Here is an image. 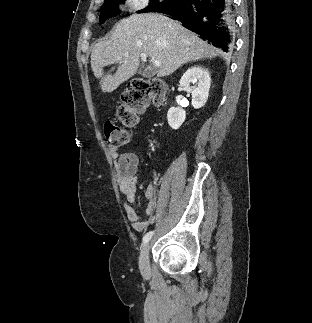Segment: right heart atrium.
Segmentation results:
<instances>
[{
    "mask_svg": "<svg viewBox=\"0 0 312 323\" xmlns=\"http://www.w3.org/2000/svg\"><path fill=\"white\" fill-rule=\"evenodd\" d=\"M120 5H130L132 9L136 10V13H145V6H140L143 0H119ZM150 5L155 3V0H148Z\"/></svg>",
    "mask_w": 312,
    "mask_h": 323,
    "instance_id": "obj_1",
    "label": "right heart atrium"
}]
</instances>
